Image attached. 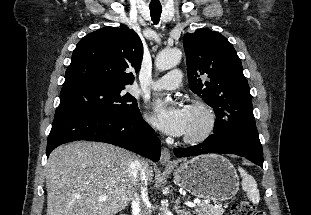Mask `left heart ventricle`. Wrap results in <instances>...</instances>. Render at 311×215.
<instances>
[{"instance_id":"left-heart-ventricle-1","label":"left heart ventricle","mask_w":311,"mask_h":215,"mask_svg":"<svg viewBox=\"0 0 311 215\" xmlns=\"http://www.w3.org/2000/svg\"><path fill=\"white\" fill-rule=\"evenodd\" d=\"M188 111V125H187V130L185 134H195L198 133L204 125V117L203 115L194 110H189Z\"/></svg>"}]
</instances>
